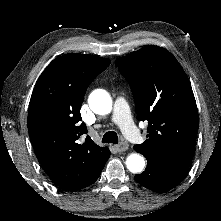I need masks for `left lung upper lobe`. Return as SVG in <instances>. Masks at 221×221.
Instances as JSON below:
<instances>
[{"instance_id":"1","label":"left lung upper lobe","mask_w":221,"mask_h":221,"mask_svg":"<svg viewBox=\"0 0 221 221\" xmlns=\"http://www.w3.org/2000/svg\"><path fill=\"white\" fill-rule=\"evenodd\" d=\"M130 82L137 119L148 122L147 140L135 151L147 162L189 167L199 116L190 81L175 57L158 46H145L118 58Z\"/></svg>"}]
</instances>
